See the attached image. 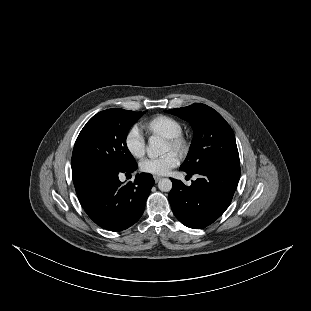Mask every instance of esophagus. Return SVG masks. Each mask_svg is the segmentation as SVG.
I'll return each mask as SVG.
<instances>
[{
    "mask_svg": "<svg viewBox=\"0 0 311 311\" xmlns=\"http://www.w3.org/2000/svg\"><path fill=\"white\" fill-rule=\"evenodd\" d=\"M153 177L156 183L161 179V177L157 175H154Z\"/></svg>",
    "mask_w": 311,
    "mask_h": 311,
    "instance_id": "esophagus-1",
    "label": "esophagus"
}]
</instances>
